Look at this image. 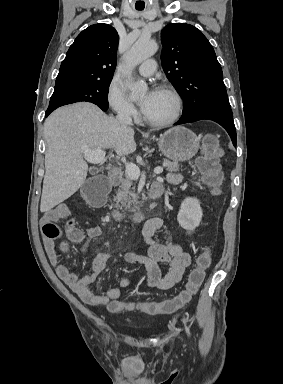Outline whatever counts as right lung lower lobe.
<instances>
[{
    "label": "right lung lower lobe",
    "mask_w": 283,
    "mask_h": 384,
    "mask_svg": "<svg viewBox=\"0 0 283 384\" xmlns=\"http://www.w3.org/2000/svg\"><path fill=\"white\" fill-rule=\"evenodd\" d=\"M103 111H107L108 108H101ZM55 109H47L46 113H45V117H48V115Z\"/></svg>",
    "instance_id": "98d812e1"
}]
</instances>
